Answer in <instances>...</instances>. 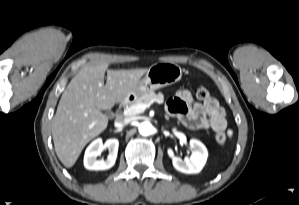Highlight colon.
<instances>
[{"label": "colon", "mask_w": 299, "mask_h": 205, "mask_svg": "<svg viewBox=\"0 0 299 205\" xmlns=\"http://www.w3.org/2000/svg\"><path fill=\"white\" fill-rule=\"evenodd\" d=\"M207 96H209L208 90L204 87H199L198 90H197V97L200 98V99H204ZM215 139H216L217 143L225 144L226 141H227V136L224 132H218L215 135Z\"/></svg>", "instance_id": "obj_1"}]
</instances>
